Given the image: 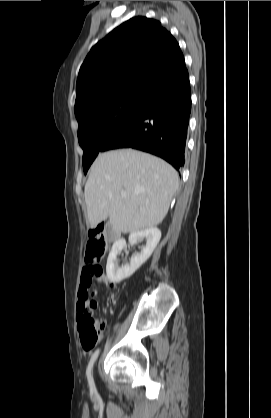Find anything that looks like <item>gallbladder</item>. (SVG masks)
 Masks as SVG:
<instances>
[{
	"label": "gallbladder",
	"instance_id": "gallbladder-1",
	"mask_svg": "<svg viewBox=\"0 0 271 418\" xmlns=\"http://www.w3.org/2000/svg\"><path fill=\"white\" fill-rule=\"evenodd\" d=\"M107 233H108V235H114V236H117V235H118V233H117V232H115V231L112 229V227H111V225H110V224H108V226H107Z\"/></svg>",
	"mask_w": 271,
	"mask_h": 418
}]
</instances>
